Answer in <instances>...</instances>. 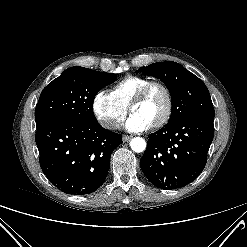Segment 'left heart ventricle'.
Masks as SVG:
<instances>
[{
	"instance_id": "obj_1",
	"label": "left heart ventricle",
	"mask_w": 247,
	"mask_h": 247,
	"mask_svg": "<svg viewBox=\"0 0 247 247\" xmlns=\"http://www.w3.org/2000/svg\"><path fill=\"white\" fill-rule=\"evenodd\" d=\"M165 108L166 98L164 93L160 89H154L143 102L133 107L132 112L152 125L161 118Z\"/></svg>"
}]
</instances>
